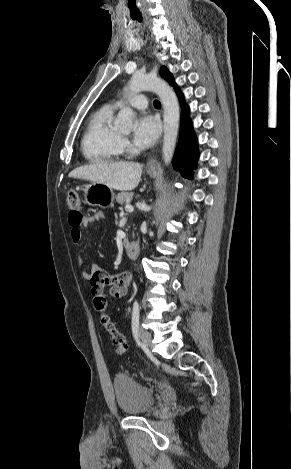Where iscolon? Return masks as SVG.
I'll use <instances>...</instances> for the list:
<instances>
[{
    "label": "colon",
    "mask_w": 291,
    "mask_h": 469,
    "mask_svg": "<svg viewBox=\"0 0 291 469\" xmlns=\"http://www.w3.org/2000/svg\"><path fill=\"white\" fill-rule=\"evenodd\" d=\"M67 207L70 215L78 218L83 217L82 200L79 193L70 190L66 198ZM108 295L106 293H97L92 301V306L100 313V321L105 330L110 334L114 352L117 355H123L127 350V342L124 335L117 329L109 315L106 313Z\"/></svg>",
    "instance_id": "obj_1"
}]
</instances>
